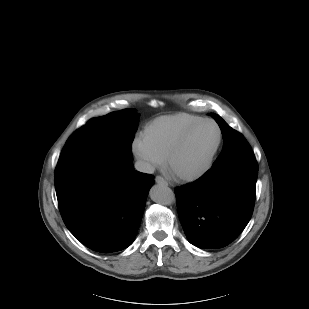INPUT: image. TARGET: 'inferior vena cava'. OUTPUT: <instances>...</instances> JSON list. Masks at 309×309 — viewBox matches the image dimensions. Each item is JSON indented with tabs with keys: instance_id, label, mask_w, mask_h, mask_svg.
<instances>
[{
	"instance_id": "1",
	"label": "inferior vena cava",
	"mask_w": 309,
	"mask_h": 309,
	"mask_svg": "<svg viewBox=\"0 0 309 309\" xmlns=\"http://www.w3.org/2000/svg\"><path fill=\"white\" fill-rule=\"evenodd\" d=\"M135 169L140 172L149 173V174H152L155 171V168L153 165H151L148 162L142 161V160H138L137 162H135Z\"/></svg>"
}]
</instances>
